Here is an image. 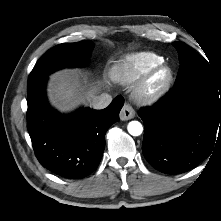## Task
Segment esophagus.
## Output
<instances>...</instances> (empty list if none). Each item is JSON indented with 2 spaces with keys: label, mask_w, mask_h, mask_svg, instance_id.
Masks as SVG:
<instances>
[{
  "label": "esophagus",
  "mask_w": 221,
  "mask_h": 221,
  "mask_svg": "<svg viewBox=\"0 0 221 221\" xmlns=\"http://www.w3.org/2000/svg\"><path fill=\"white\" fill-rule=\"evenodd\" d=\"M135 117V110L129 104H125L120 112V119L123 121L130 120Z\"/></svg>",
  "instance_id": "34e87169"
}]
</instances>
